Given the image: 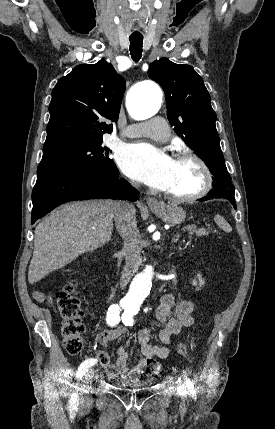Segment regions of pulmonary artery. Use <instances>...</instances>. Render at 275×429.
<instances>
[{
	"label": "pulmonary artery",
	"mask_w": 275,
	"mask_h": 429,
	"mask_svg": "<svg viewBox=\"0 0 275 429\" xmlns=\"http://www.w3.org/2000/svg\"><path fill=\"white\" fill-rule=\"evenodd\" d=\"M121 135L126 137L145 136L154 140L164 141L169 137L170 131L162 118H154L147 122L129 125Z\"/></svg>",
	"instance_id": "obj_1"
}]
</instances>
